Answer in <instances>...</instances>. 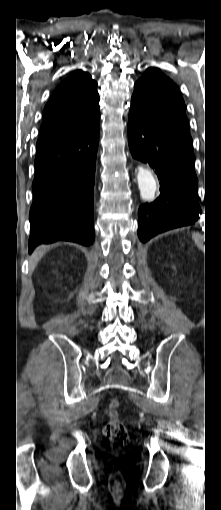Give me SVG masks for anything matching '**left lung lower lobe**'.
Masks as SVG:
<instances>
[{
  "instance_id": "left-lung-lower-lobe-1",
  "label": "left lung lower lobe",
  "mask_w": 221,
  "mask_h": 510,
  "mask_svg": "<svg viewBox=\"0 0 221 510\" xmlns=\"http://www.w3.org/2000/svg\"><path fill=\"white\" fill-rule=\"evenodd\" d=\"M128 142L132 156L152 167L160 180V196L139 207L138 236L142 242L164 231L193 224L198 204L193 149L159 132L131 108Z\"/></svg>"
}]
</instances>
